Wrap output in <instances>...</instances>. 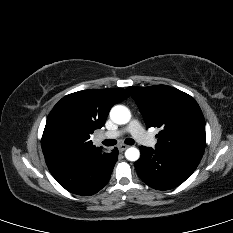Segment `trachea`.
Here are the masks:
<instances>
[{
    "label": "trachea",
    "instance_id": "obj_1",
    "mask_svg": "<svg viewBox=\"0 0 233 233\" xmlns=\"http://www.w3.org/2000/svg\"><path fill=\"white\" fill-rule=\"evenodd\" d=\"M102 143L105 146H113V145H115L117 143V141L116 140H112V139H107V140H104ZM125 143L128 144V145H133L134 144V140L131 139V138H127L125 140Z\"/></svg>",
    "mask_w": 233,
    "mask_h": 233
}]
</instances>
